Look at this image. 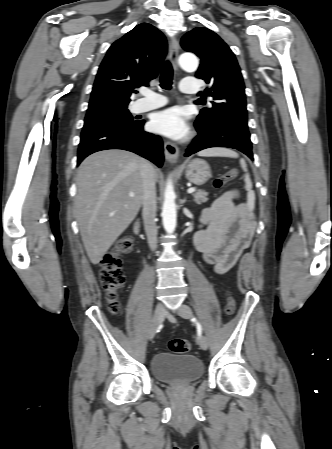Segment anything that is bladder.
Here are the masks:
<instances>
[{
	"mask_svg": "<svg viewBox=\"0 0 332 449\" xmlns=\"http://www.w3.org/2000/svg\"><path fill=\"white\" fill-rule=\"evenodd\" d=\"M151 372L161 383H191L203 375L204 367L194 355L162 352L152 358Z\"/></svg>",
	"mask_w": 332,
	"mask_h": 449,
	"instance_id": "1",
	"label": "bladder"
}]
</instances>
